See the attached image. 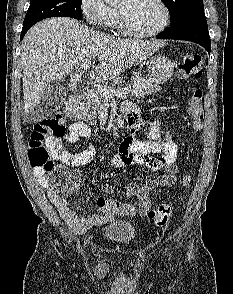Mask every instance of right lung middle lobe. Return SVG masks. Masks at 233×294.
Listing matches in <instances>:
<instances>
[{"instance_id": "right-lung-middle-lobe-1", "label": "right lung middle lobe", "mask_w": 233, "mask_h": 294, "mask_svg": "<svg viewBox=\"0 0 233 294\" xmlns=\"http://www.w3.org/2000/svg\"><path fill=\"white\" fill-rule=\"evenodd\" d=\"M82 0H30V6L23 27H31L36 22L49 17L82 18Z\"/></svg>"}]
</instances>
